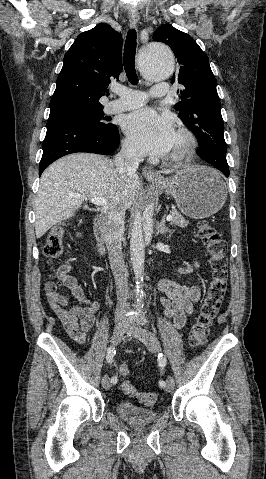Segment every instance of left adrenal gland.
Returning <instances> with one entry per match:
<instances>
[{
	"mask_svg": "<svg viewBox=\"0 0 266 479\" xmlns=\"http://www.w3.org/2000/svg\"><path fill=\"white\" fill-rule=\"evenodd\" d=\"M171 229L169 227H166L165 226V218H163L160 222V224L158 225V228H157V234H166V233H169V236L171 235Z\"/></svg>",
	"mask_w": 266,
	"mask_h": 479,
	"instance_id": "left-adrenal-gland-1",
	"label": "left adrenal gland"
}]
</instances>
